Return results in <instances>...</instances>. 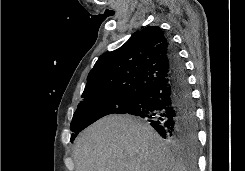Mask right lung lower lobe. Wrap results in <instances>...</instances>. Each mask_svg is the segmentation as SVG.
<instances>
[{
    "mask_svg": "<svg viewBox=\"0 0 245 171\" xmlns=\"http://www.w3.org/2000/svg\"><path fill=\"white\" fill-rule=\"evenodd\" d=\"M168 58L169 76L143 92L139 103L127 114L147 120L168 143L195 155L198 143L195 105L185 66L172 43Z\"/></svg>",
    "mask_w": 245,
    "mask_h": 171,
    "instance_id": "1",
    "label": "right lung lower lobe"
}]
</instances>
